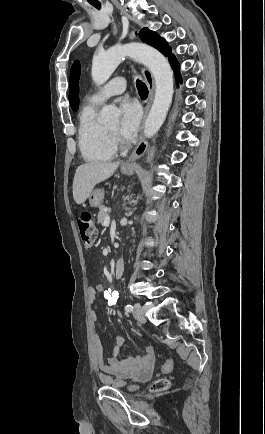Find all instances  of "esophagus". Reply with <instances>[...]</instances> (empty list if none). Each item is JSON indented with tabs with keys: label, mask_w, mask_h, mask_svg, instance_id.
Instances as JSON below:
<instances>
[{
	"label": "esophagus",
	"mask_w": 265,
	"mask_h": 434,
	"mask_svg": "<svg viewBox=\"0 0 265 434\" xmlns=\"http://www.w3.org/2000/svg\"><path fill=\"white\" fill-rule=\"evenodd\" d=\"M128 38H129V40H134L136 38L135 29H131L129 31ZM141 71H142V74H143L145 81L147 83L148 92H149V100H148V103L144 109V117H143L142 124H141V131L142 132H141V135L139 138V142L136 145L135 149L130 154L129 158L122 164V167H130L133 164V162H135L137 159H139L146 152V149L148 147V141L143 137V130L145 127L148 112L150 110V107H151V104H152V101L154 98L155 87H154V79H153V76H152L150 70L142 67Z\"/></svg>",
	"instance_id": "obj_1"
}]
</instances>
